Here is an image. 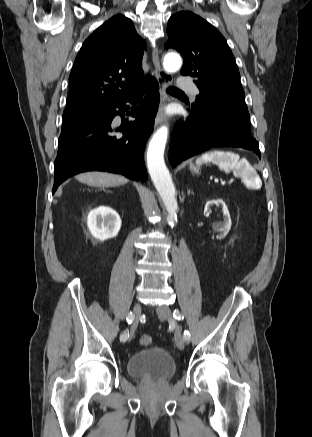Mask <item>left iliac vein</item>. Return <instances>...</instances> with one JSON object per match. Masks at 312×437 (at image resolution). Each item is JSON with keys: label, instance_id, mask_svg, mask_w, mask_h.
Here are the masks:
<instances>
[{"label": "left iliac vein", "instance_id": "1", "mask_svg": "<svg viewBox=\"0 0 312 437\" xmlns=\"http://www.w3.org/2000/svg\"><path fill=\"white\" fill-rule=\"evenodd\" d=\"M160 319L172 320V313L168 306H160L156 309ZM175 343L178 349L183 350L185 347V339L182 337L179 329L175 331Z\"/></svg>", "mask_w": 312, "mask_h": 437}]
</instances>
